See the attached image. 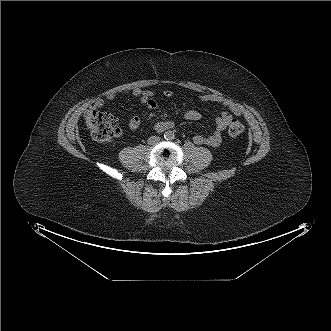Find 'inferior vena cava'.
<instances>
[{
	"instance_id": "1",
	"label": "inferior vena cava",
	"mask_w": 331,
	"mask_h": 331,
	"mask_svg": "<svg viewBox=\"0 0 331 331\" xmlns=\"http://www.w3.org/2000/svg\"><path fill=\"white\" fill-rule=\"evenodd\" d=\"M148 140H149V143H155V142L159 141L160 138L157 136H152Z\"/></svg>"
}]
</instances>
